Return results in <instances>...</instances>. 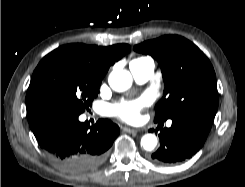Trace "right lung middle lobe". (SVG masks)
Listing matches in <instances>:
<instances>
[{
  "mask_svg": "<svg viewBox=\"0 0 245 187\" xmlns=\"http://www.w3.org/2000/svg\"><path fill=\"white\" fill-rule=\"evenodd\" d=\"M101 81L79 51L55 49L33 72L26 94L28 121L55 111L80 115L98 95Z\"/></svg>",
  "mask_w": 245,
  "mask_h": 187,
  "instance_id": "right-lung-middle-lobe-1",
  "label": "right lung middle lobe"
}]
</instances>
